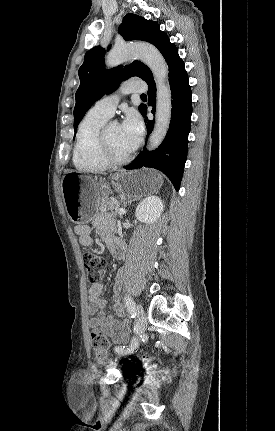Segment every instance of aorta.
Here are the masks:
<instances>
[{
  "mask_svg": "<svg viewBox=\"0 0 275 431\" xmlns=\"http://www.w3.org/2000/svg\"><path fill=\"white\" fill-rule=\"evenodd\" d=\"M134 58L141 59L150 68L156 83L155 124L148 145L149 150H154L166 137L171 121L172 103L168 65L159 50L149 44L116 46L108 53L106 65L114 67Z\"/></svg>",
  "mask_w": 275,
  "mask_h": 431,
  "instance_id": "1",
  "label": "aorta"
}]
</instances>
